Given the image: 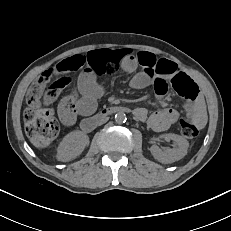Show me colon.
Listing matches in <instances>:
<instances>
[{"mask_svg": "<svg viewBox=\"0 0 231 231\" xmlns=\"http://www.w3.org/2000/svg\"><path fill=\"white\" fill-rule=\"evenodd\" d=\"M67 74H62L53 66L38 77L28 89L26 95L27 109L24 113L26 134L31 143L38 148L50 146L59 132V124L49 104L53 102L61 91L71 83ZM182 97L195 100L200 91L196 83L186 74L170 78L168 81L156 79L155 90L158 94H165L168 86ZM179 129L185 138L198 136L199 128L187 119H181Z\"/></svg>", "mask_w": 231, "mask_h": 231, "instance_id": "1", "label": "colon"}]
</instances>
